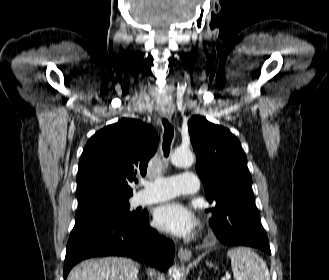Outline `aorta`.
<instances>
[{"label":"aorta","instance_id":"obj_1","mask_svg":"<svg viewBox=\"0 0 329 280\" xmlns=\"http://www.w3.org/2000/svg\"><path fill=\"white\" fill-rule=\"evenodd\" d=\"M171 162L178 167H188L194 163V155L189 149L177 148L171 155ZM170 280H180L182 273L176 266L169 269Z\"/></svg>","mask_w":329,"mask_h":280}]
</instances>
